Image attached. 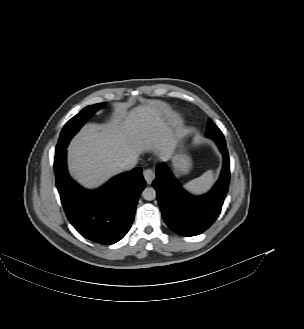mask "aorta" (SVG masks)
<instances>
[{"label": "aorta", "instance_id": "aorta-1", "mask_svg": "<svg viewBox=\"0 0 304 329\" xmlns=\"http://www.w3.org/2000/svg\"><path fill=\"white\" fill-rule=\"evenodd\" d=\"M142 196L147 201H152L156 197V191L153 187H146L143 192Z\"/></svg>", "mask_w": 304, "mask_h": 329}]
</instances>
